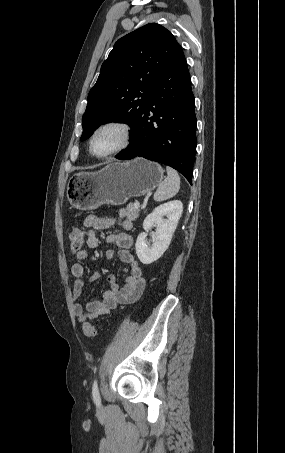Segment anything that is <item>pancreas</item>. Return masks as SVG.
<instances>
[{
	"label": "pancreas",
	"instance_id": "cf45deb5",
	"mask_svg": "<svg viewBox=\"0 0 285 453\" xmlns=\"http://www.w3.org/2000/svg\"><path fill=\"white\" fill-rule=\"evenodd\" d=\"M140 209L139 207H134V204H129L126 209H120L119 215L120 217H126L130 221H134L139 216Z\"/></svg>",
	"mask_w": 285,
	"mask_h": 453
}]
</instances>
